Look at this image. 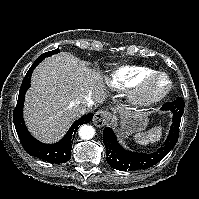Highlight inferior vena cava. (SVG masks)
Here are the masks:
<instances>
[{"label":"inferior vena cava","mask_w":199,"mask_h":199,"mask_svg":"<svg viewBox=\"0 0 199 199\" xmlns=\"http://www.w3.org/2000/svg\"><path fill=\"white\" fill-rule=\"evenodd\" d=\"M91 107H92L91 103L83 102L82 104L77 106V111L80 114H84V113L88 112L91 109Z\"/></svg>","instance_id":"inferior-vena-cava-1"}]
</instances>
